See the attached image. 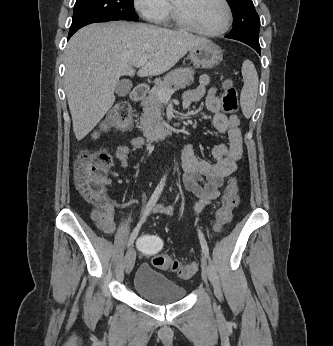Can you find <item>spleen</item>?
<instances>
[{"label":"spleen","mask_w":333,"mask_h":346,"mask_svg":"<svg viewBox=\"0 0 333 346\" xmlns=\"http://www.w3.org/2000/svg\"><path fill=\"white\" fill-rule=\"evenodd\" d=\"M244 85L241 91L240 104L245 117H250L254 111L258 93V74L253 62L246 60L242 65Z\"/></svg>","instance_id":"spleen-1"}]
</instances>
